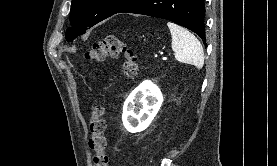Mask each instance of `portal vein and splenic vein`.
I'll list each match as a JSON object with an SVG mask.
<instances>
[{
    "mask_svg": "<svg viewBox=\"0 0 277 166\" xmlns=\"http://www.w3.org/2000/svg\"><path fill=\"white\" fill-rule=\"evenodd\" d=\"M154 57H155V58H157V57H158V55H157V54H155V55H154ZM165 59H166V58H165Z\"/></svg>",
    "mask_w": 277,
    "mask_h": 166,
    "instance_id": "portal-vein-and-splenic-vein-1",
    "label": "portal vein and splenic vein"
}]
</instances>
